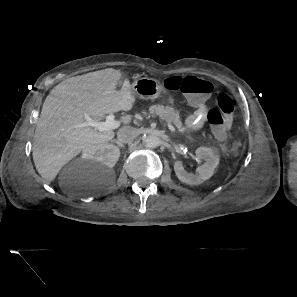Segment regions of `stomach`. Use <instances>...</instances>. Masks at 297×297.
<instances>
[{
  "mask_svg": "<svg viewBox=\"0 0 297 297\" xmlns=\"http://www.w3.org/2000/svg\"><path fill=\"white\" fill-rule=\"evenodd\" d=\"M162 91L163 87L160 82L148 77L138 78L131 85L132 94L145 100L158 98Z\"/></svg>",
  "mask_w": 297,
  "mask_h": 297,
  "instance_id": "1",
  "label": "stomach"
}]
</instances>
